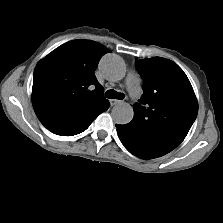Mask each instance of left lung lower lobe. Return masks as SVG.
I'll return each instance as SVG.
<instances>
[{
  "mask_svg": "<svg viewBox=\"0 0 223 223\" xmlns=\"http://www.w3.org/2000/svg\"><path fill=\"white\" fill-rule=\"evenodd\" d=\"M116 127L122 144L130 153L139 158L152 159L169 153L165 149L137 140L136 133L129 127L128 124L116 125Z\"/></svg>",
  "mask_w": 223,
  "mask_h": 223,
  "instance_id": "0a47b994",
  "label": "left lung lower lobe"
}]
</instances>
